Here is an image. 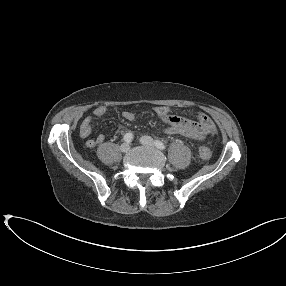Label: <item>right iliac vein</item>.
Listing matches in <instances>:
<instances>
[{
	"label": "right iliac vein",
	"mask_w": 286,
	"mask_h": 286,
	"mask_svg": "<svg viewBox=\"0 0 286 286\" xmlns=\"http://www.w3.org/2000/svg\"><path fill=\"white\" fill-rule=\"evenodd\" d=\"M130 149V144L129 143H123L121 146H120V150L122 152H128Z\"/></svg>",
	"instance_id": "63e3f726"
}]
</instances>
